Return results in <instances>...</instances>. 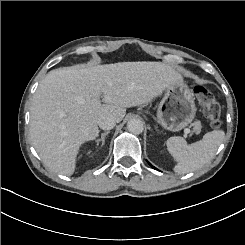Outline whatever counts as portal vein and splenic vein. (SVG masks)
<instances>
[{"instance_id":"portal-vein-and-splenic-vein-1","label":"portal vein and splenic vein","mask_w":245,"mask_h":245,"mask_svg":"<svg viewBox=\"0 0 245 245\" xmlns=\"http://www.w3.org/2000/svg\"><path fill=\"white\" fill-rule=\"evenodd\" d=\"M100 93H95L92 97L93 103L97 104L99 99H100ZM190 133V128H185L184 129V134H189Z\"/></svg>"}]
</instances>
